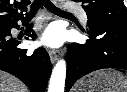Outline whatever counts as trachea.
<instances>
[{"label":"trachea","instance_id":"3493384b","mask_svg":"<svg viewBox=\"0 0 127 92\" xmlns=\"http://www.w3.org/2000/svg\"><path fill=\"white\" fill-rule=\"evenodd\" d=\"M46 7L50 12L57 15L73 16L71 13L56 7L50 0H35L31 5L30 16H34L39 8Z\"/></svg>","mask_w":127,"mask_h":92}]
</instances>
